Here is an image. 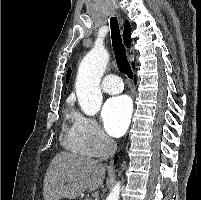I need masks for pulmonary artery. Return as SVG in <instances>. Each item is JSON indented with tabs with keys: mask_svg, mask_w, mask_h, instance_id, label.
<instances>
[{
	"mask_svg": "<svg viewBox=\"0 0 201 200\" xmlns=\"http://www.w3.org/2000/svg\"><path fill=\"white\" fill-rule=\"evenodd\" d=\"M101 87L108 94H118L123 91L122 80L115 74H107L102 80Z\"/></svg>",
	"mask_w": 201,
	"mask_h": 200,
	"instance_id": "e3ab8cb5",
	"label": "pulmonary artery"
}]
</instances>
